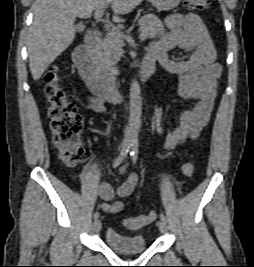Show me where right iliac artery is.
<instances>
[{"label":"right iliac artery","instance_id":"1","mask_svg":"<svg viewBox=\"0 0 254 267\" xmlns=\"http://www.w3.org/2000/svg\"><path fill=\"white\" fill-rule=\"evenodd\" d=\"M131 146H132V144L129 140L125 142L120 155L113 162V168L118 167L123 162L124 158L126 157V155L129 152ZM98 218H99V212H95L94 213V220H97Z\"/></svg>","mask_w":254,"mask_h":267}]
</instances>
